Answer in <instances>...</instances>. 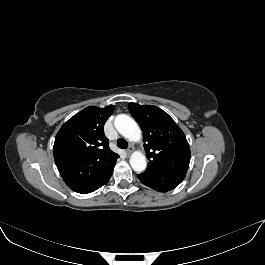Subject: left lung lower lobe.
<instances>
[{
	"mask_svg": "<svg viewBox=\"0 0 265 265\" xmlns=\"http://www.w3.org/2000/svg\"><path fill=\"white\" fill-rule=\"evenodd\" d=\"M137 176L143 184L159 192H166L174 189L185 178L183 174H163L148 171Z\"/></svg>",
	"mask_w": 265,
	"mask_h": 265,
	"instance_id": "left-lung-lower-lobe-1",
	"label": "left lung lower lobe"
}]
</instances>
